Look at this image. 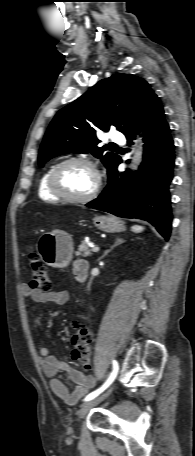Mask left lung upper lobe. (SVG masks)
<instances>
[{"mask_svg":"<svg viewBox=\"0 0 195 456\" xmlns=\"http://www.w3.org/2000/svg\"><path fill=\"white\" fill-rule=\"evenodd\" d=\"M155 96L145 80L132 74H115L101 80L55 115L40 147L39 166L58 155L91 152L109 172L119 156L104 153L107 146H97L100 141L96 131H108L114 125L120 132H127Z\"/></svg>","mask_w":195,"mask_h":456,"instance_id":"1","label":"left lung upper lobe"}]
</instances>
